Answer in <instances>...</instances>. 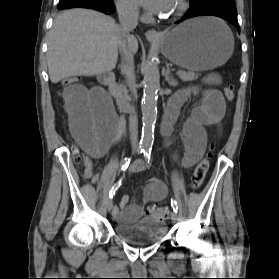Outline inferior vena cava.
I'll use <instances>...</instances> for the list:
<instances>
[{
	"instance_id": "obj_1",
	"label": "inferior vena cava",
	"mask_w": 279,
	"mask_h": 279,
	"mask_svg": "<svg viewBox=\"0 0 279 279\" xmlns=\"http://www.w3.org/2000/svg\"><path fill=\"white\" fill-rule=\"evenodd\" d=\"M118 15L120 21L121 39L119 41V48L122 54V69L128 81L131 91L135 92L134 85V63L132 54L127 44L129 33L133 31L138 25L139 12L138 8L131 4H124L118 6ZM129 131L130 140L133 147L138 143V118L134 110L129 116Z\"/></svg>"
}]
</instances>
